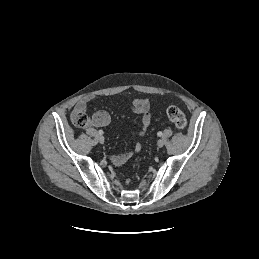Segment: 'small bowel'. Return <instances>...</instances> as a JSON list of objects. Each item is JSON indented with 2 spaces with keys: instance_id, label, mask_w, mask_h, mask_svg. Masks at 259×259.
Segmentation results:
<instances>
[{
  "instance_id": "1",
  "label": "small bowel",
  "mask_w": 259,
  "mask_h": 259,
  "mask_svg": "<svg viewBox=\"0 0 259 259\" xmlns=\"http://www.w3.org/2000/svg\"><path fill=\"white\" fill-rule=\"evenodd\" d=\"M92 100L91 97H86L81 99L75 106V111L85 112L87 108L88 102ZM133 111L141 117L142 129L137 131L136 134L139 136H143L150 125L151 116L149 113L150 110V103L147 99L140 98L134 100L132 104ZM110 122V116L106 111H97L94 113L93 117L90 120V125L95 127H103L106 126ZM141 150V144L136 143L134 145L133 150L116 154L112 157L114 163L117 165L124 164L130 157L133 155L134 152H139Z\"/></svg>"
}]
</instances>
